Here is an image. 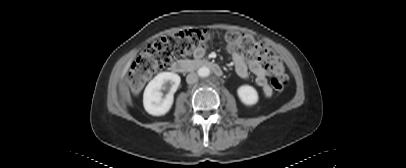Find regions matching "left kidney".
<instances>
[{
    "label": "left kidney",
    "mask_w": 406,
    "mask_h": 168,
    "mask_svg": "<svg viewBox=\"0 0 406 168\" xmlns=\"http://www.w3.org/2000/svg\"><path fill=\"white\" fill-rule=\"evenodd\" d=\"M237 94L241 102L247 106L255 105L258 102V93L250 85H242L237 89Z\"/></svg>",
    "instance_id": "left-kidney-1"
}]
</instances>
